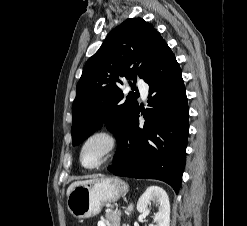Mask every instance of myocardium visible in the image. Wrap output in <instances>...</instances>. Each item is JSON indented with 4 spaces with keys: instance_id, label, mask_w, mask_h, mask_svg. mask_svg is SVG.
<instances>
[{
    "instance_id": "1",
    "label": "myocardium",
    "mask_w": 247,
    "mask_h": 226,
    "mask_svg": "<svg viewBox=\"0 0 247 226\" xmlns=\"http://www.w3.org/2000/svg\"><path fill=\"white\" fill-rule=\"evenodd\" d=\"M101 138L107 143V148L102 158L93 165H86L83 160V153L88 143L94 139ZM119 140L117 135L110 129L100 128L89 133L82 141L79 149V161L84 168L96 169L109 162L117 152Z\"/></svg>"
}]
</instances>
